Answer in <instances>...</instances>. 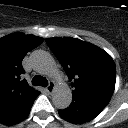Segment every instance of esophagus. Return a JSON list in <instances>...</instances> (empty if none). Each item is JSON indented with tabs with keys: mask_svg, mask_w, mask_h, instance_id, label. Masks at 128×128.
<instances>
[{
	"mask_svg": "<svg viewBox=\"0 0 128 128\" xmlns=\"http://www.w3.org/2000/svg\"><path fill=\"white\" fill-rule=\"evenodd\" d=\"M55 84L54 82H50L48 86L46 87V91L51 94L54 91Z\"/></svg>",
	"mask_w": 128,
	"mask_h": 128,
	"instance_id": "1",
	"label": "esophagus"
}]
</instances>
